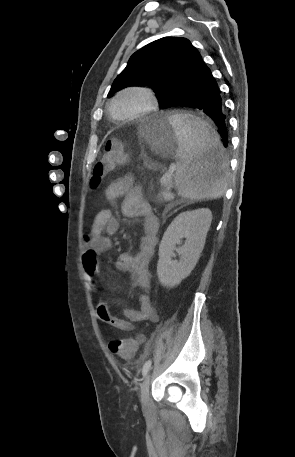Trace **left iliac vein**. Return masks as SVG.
<instances>
[{
  "label": "left iliac vein",
  "instance_id": "left-iliac-vein-1",
  "mask_svg": "<svg viewBox=\"0 0 295 457\" xmlns=\"http://www.w3.org/2000/svg\"><path fill=\"white\" fill-rule=\"evenodd\" d=\"M150 375H147L141 385L140 400L143 406L147 405L149 400Z\"/></svg>",
  "mask_w": 295,
  "mask_h": 457
}]
</instances>
